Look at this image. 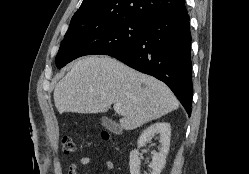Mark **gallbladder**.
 I'll list each match as a JSON object with an SVG mask.
<instances>
[{
    "label": "gallbladder",
    "instance_id": "bac80fb5",
    "mask_svg": "<svg viewBox=\"0 0 249 174\" xmlns=\"http://www.w3.org/2000/svg\"><path fill=\"white\" fill-rule=\"evenodd\" d=\"M102 124L111 131H119L120 130L119 125L107 117L102 118Z\"/></svg>",
    "mask_w": 249,
    "mask_h": 174
}]
</instances>
